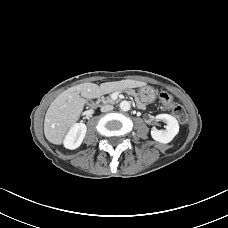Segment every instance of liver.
Returning a JSON list of instances; mask_svg holds the SVG:
<instances>
[{"label": "liver", "mask_w": 228, "mask_h": 228, "mask_svg": "<svg viewBox=\"0 0 228 228\" xmlns=\"http://www.w3.org/2000/svg\"><path fill=\"white\" fill-rule=\"evenodd\" d=\"M128 83L130 87L145 86L141 81H118L102 84L82 83L70 87L58 95L50 104L44 120V134L46 139L55 145H61L71 129L79 120L86 104V99L97 98L102 93L120 89Z\"/></svg>", "instance_id": "1"}]
</instances>
